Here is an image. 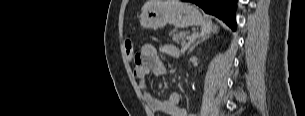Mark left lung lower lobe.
I'll list each match as a JSON object with an SVG mask.
<instances>
[{
  "instance_id": "0a47b994",
  "label": "left lung lower lobe",
  "mask_w": 305,
  "mask_h": 116,
  "mask_svg": "<svg viewBox=\"0 0 305 116\" xmlns=\"http://www.w3.org/2000/svg\"><path fill=\"white\" fill-rule=\"evenodd\" d=\"M208 13L222 19L233 30L236 29L235 8L237 0H188Z\"/></svg>"
}]
</instances>
